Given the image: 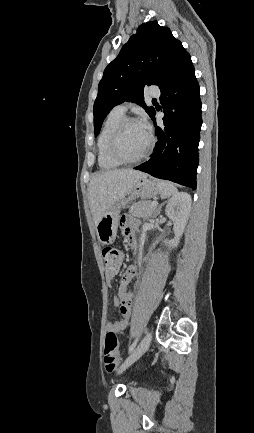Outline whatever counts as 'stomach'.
Here are the masks:
<instances>
[{
	"label": "stomach",
	"mask_w": 254,
	"mask_h": 433,
	"mask_svg": "<svg viewBox=\"0 0 254 433\" xmlns=\"http://www.w3.org/2000/svg\"><path fill=\"white\" fill-rule=\"evenodd\" d=\"M159 192V187L155 181L147 177L136 180L129 196L114 203L97 223L96 233L98 240L103 245L112 244L116 238L121 208L135 198L149 199L159 194Z\"/></svg>",
	"instance_id": "stomach-1"
}]
</instances>
